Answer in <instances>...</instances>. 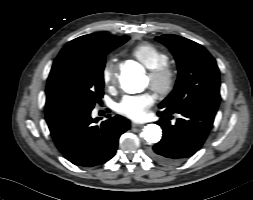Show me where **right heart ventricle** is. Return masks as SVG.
I'll list each match as a JSON object with an SVG mask.
<instances>
[{
    "label": "right heart ventricle",
    "mask_w": 253,
    "mask_h": 200,
    "mask_svg": "<svg viewBox=\"0 0 253 200\" xmlns=\"http://www.w3.org/2000/svg\"><path fill=\"white\" fill-rule=\"evenodd\" d=\"M131 55L149 70L169 62V55L161 48L149 42L136 45L132 48Z\"/></svg>",
    "instance_id": "right-heart-ventricle-1"
}]
</instances>
